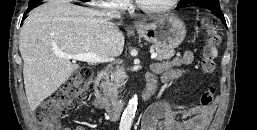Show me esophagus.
<instances>
[{
	"instance_id": "obj_1",
	"label": "esophagus",
	"mask_w": 257,
	"mask_h": 130,
	"mask_svg": "<svg viewBox=\"0 0 257 130\" xmlns=\"http://www.w3.org/2000/svg\"><path fill=\"white\" fill-rule=\"evenodd\" d=\"M134 25H135V27H139V26L141 25V23H140L139 21H136V22L134 23Z\"/></svg>"
}]
</instances>
